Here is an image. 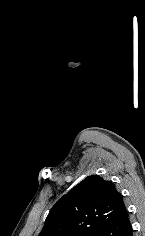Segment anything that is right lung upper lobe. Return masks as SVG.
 <instances>
[{"mask_svg": "<svg viewBox=\"0 0 145 236\" xmlns=\"http://www.w3.org/2000/svg\"><path fill=\"white\" fill-rule=\"evenodd\" d=\"M124 212L113 183L88 176L56 202L39 236H96Z\"/></svg>", "mask_w": 145, "mask_h": 236, "instance_id": "1", "label": "right lung upper lobe"}]
</instances>
